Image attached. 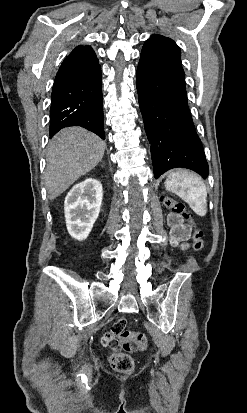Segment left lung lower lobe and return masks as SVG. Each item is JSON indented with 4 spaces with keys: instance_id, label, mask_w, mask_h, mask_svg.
I'll use <instances>...</instances> for the list:
<instances>
[{
    "instance_id": "obj_1",
    "label": "left lung lower lobe",
    "mask_w": 247,
    "mask_h": 413,
    "mask_svg": "<svg viewBox=\"0 0 247 413\" xmlns=\"http://www.w3.org/2000/svg\"><path fill=\"white\" fill-rule=\"evenodd\" d=\"M136 85L155 178L175 167L207 178L208 163L188 107L181 61L144 47Z\"/></svg>"
}]
</instances>
